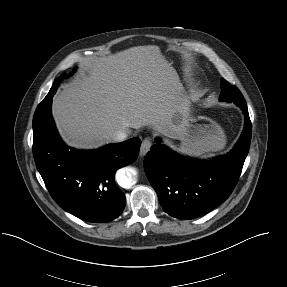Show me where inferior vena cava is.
I'll return each instance as SVG.
<instances>
[{
  "label": "inferior vena cava",
  "instance_id": "obj_1",
  "mask_svg": "<svg viewBox=\"0 0 287 287\" xmlns=\"http://www.w3.org/2000/svg\"><path fill=\"white\" fill-rule=\"evenodd\" d=\"M128 137V133L125 131H117L115 133H113V135L111 136V139L113 142H121L126 140Z\"/></svg>",
  "mask_w": 287,
  "mask_h": 287
}]
</instances>
